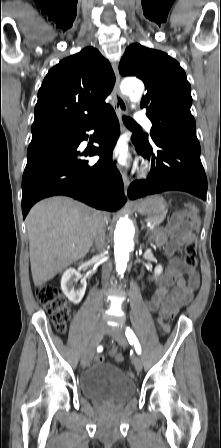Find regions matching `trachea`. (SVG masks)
I'll list each match as a JSON object with an SVG mask.
<instances>
[{"label": "trachea", "instance_id": "3493384b", "mask_svg": "<svg viewBox=\"0 0 221 448\" xmlns=\"http://www.w3.org/2000/svg\"><path fill=\"white\" fill-rule=\"evenodd\" d=\"M123 121L126 126H138V124L131 118L123 116Z\"/></svg>", "mask_w": 221, "mask_h": 448}]
</instances>
